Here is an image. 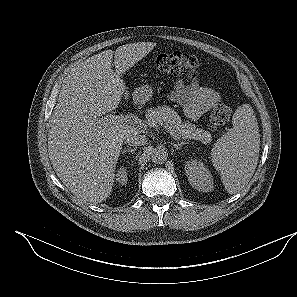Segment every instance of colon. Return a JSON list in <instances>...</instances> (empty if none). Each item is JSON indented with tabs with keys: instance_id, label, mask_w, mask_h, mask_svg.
<instances>
[{
	"instance_id": "colon-1",
	"label": "colon",
	"mask_w": 297,
	"mask_h": 297,
	"mask_svg": "<svg viewBox=\"0 0 297 297\" xmlns=\"http://www.w3.org/2000/svg\"><path fill=\"white\" fill-rule=\"evenodd\" d=\"M154 67L169 75L193 77L199 70L200 62L195 56L175 51L159 55L154 62ZM230 117L231 107L226 103H218L210 114L211 129H221L229 122Z\"/></svg>"
}]
</instances>
